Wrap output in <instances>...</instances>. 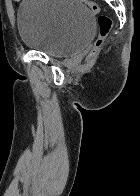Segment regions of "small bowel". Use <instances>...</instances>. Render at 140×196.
Listing matches in <instances>:
<instances>
[{"label": "small bowel", "mask_w": 140, "mask_h": 196, "mask_svg": "<svg viewBox=\"0 0 140 196\" xmlns=\"http://www.w3.org/2000/svg\"><path fill=\"white\" fill-rule=\"evenodd\" d=\"M14 1L19 2L20 0H14Z\"/></svg>", "instance_id": "small-bowel-1"}]
</instances>
